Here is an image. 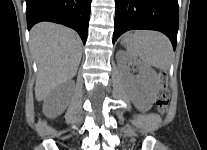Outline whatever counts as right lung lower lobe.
<instances>
[{
	"label": "right lung lower lobe",
	"mask_w": 207,
	"mask_h": 150,
	"mask_svg": "<svg viewBox=\"0 0 207 150\" xmlns=\"http://www.w3.org/2000/svg\"><path fill=\"white\" fill-rule=\"evenodd\" d=\"M27 27L51 21L71 27L83 43L87 39L91 0H26Z\"/></svg>",
	"instance_id": "98d812e1"
}]
</instances>
